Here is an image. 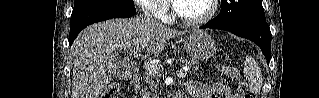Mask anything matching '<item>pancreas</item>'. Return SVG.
<instances>
[{
  "instance_id": "cf45deb5",
  "label": "pancreas",
  "mask_w": 319,
  "mask_h": 98,
  "mask_svg": "<svg viewBox=\"0 0 319 98\" xmlns=\"http://www.w3.org/2000/svg\"><path fill=\"white\" fill-rule=\"evenodd\" d=\"M181 61L190 67V72H196L199 69L198 63L194 60L181 59ZM159 68L161 72L157 75L150 74L147 71L143 76V82L136 86V90L140 91L142 98H149L151 92L157 91V78L163 72V68L161 66Z\"/></svg>"
}]
</instances>
